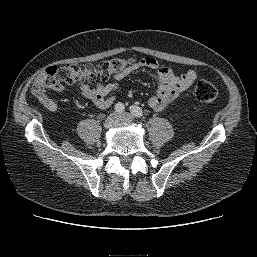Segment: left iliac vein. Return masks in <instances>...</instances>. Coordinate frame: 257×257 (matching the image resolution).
Listing matches in <instances>:
<instances>
[{
	"mask_svg": "<svg viewBox=\"0 0 257 257\" xmlns=\"http://www.w3.org/2000/svg\"><path fill=\"white\" fill-rule=\"evenodd\" d=\"M119 117H120V122L122 123H129L133 121V116L129 113H121Z\"/></svg>",
	"mask_w": 257,
	"mask_h": 257,
	"instance_id": "4c4485c4",
	"label": "left iliac vein"
}]
</instances>
